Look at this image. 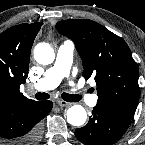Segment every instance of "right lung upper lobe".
<instances>
[{
  "label": "right lung upper lobe",
  "instance_id": "cb5924a9",
  "mask_svg": "<svg viewBox=\"0 0 145 145\" xmlns=\"http://www.w3.org/2000/svg\"><path fill=\"white\" fill-rule=\"evenodd\" d=\"M41 25L20 24L0 34V106L31 101L19 88L26 82L31 47Z\"/></svg>",
  "mask_w": 145,
  "mask_h": 145
}]
</instances>
